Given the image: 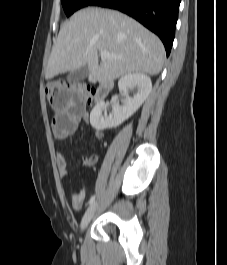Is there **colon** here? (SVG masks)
<instances>
[{
  "mask_svg": "<svg viewBox=\"0 0 227 265\" xmlns=\"http://www.w3.org/2000/svg\"><path fill=\"white\" fill-rule=\"evenodd\" d=\"M56 87H79V91H84L85 99H87V103H90L93 98V91L90 87L82 85V84H68L63 82H50L45 86V95L47 99L51 102V96L53 92L56 91Z\"/></svg>",
  "mask_w": 227,
  "mask_h": 265,
  "instance_id": "1",
  "label": "colon"
}]
</instances>
